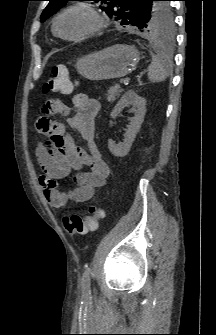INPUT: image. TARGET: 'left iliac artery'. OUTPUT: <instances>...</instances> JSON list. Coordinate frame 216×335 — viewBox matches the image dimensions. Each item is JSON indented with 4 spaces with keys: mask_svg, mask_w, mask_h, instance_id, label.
<instances>
[{
    "mask_svg": "<svg viewBox=\"0 0 216 335\" xmlns=\"http://www.w3.org/2000/svg\"><path fill=\"white\" fill-rule=\"evenodd\" d=\"M90 276H91V268L89 266H86L82 277V293L85 298H88L91 295Z\"/></svg>",
    "mask_w": 216,
    "mask_h": 335,
    "instance_id": "44dca946",
    "label": "left iliac artery"
}]
</instances>
